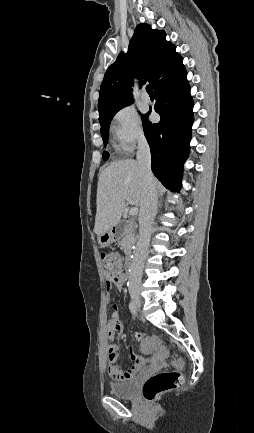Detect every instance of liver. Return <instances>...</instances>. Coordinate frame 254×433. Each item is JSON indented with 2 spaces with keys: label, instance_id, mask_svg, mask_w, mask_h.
Instances as JSON below:
<instances>
[{
  "label": "liver",
  "instance_id": "liver-1",
  "mask_svg": "<svg viewBox=\"0 0 254 433\" xmlns=\"http://www.w3.org/2000/svg\"><path fill=\"white\" fill-rule=\"evenodd\" d=\"M143 197L144 183L137 161L124 159L108 165L98 179L94 232L99 236L109 231L120 222L127 199L141 206Z\"/></svg>",
  "mask_w": 254,
  "mask_h": 433
}]
</instances>
